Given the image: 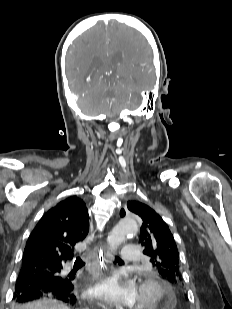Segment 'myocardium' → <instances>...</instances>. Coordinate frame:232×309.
<instances>
[{"label": "myocardium", "mask_w": 232, "mask_h": 309, "mask_svg": "<svg viewBox=\"0 0 232 309\" xmlns=\"http://www.w3.org/2000/svg\"><path fill=\"white\" fill-rule=\"evenodd\" d=\"M138 293L143 296L135 309H157L166 297L165 287L152 275H143L138 285Z\"/></svg>", "instance_id": "obj_1"}]
</instances>
